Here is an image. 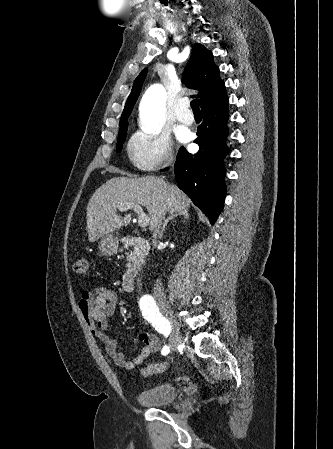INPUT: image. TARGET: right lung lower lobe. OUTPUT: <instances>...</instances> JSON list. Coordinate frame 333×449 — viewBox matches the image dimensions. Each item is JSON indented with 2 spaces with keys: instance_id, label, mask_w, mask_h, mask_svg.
Returning a JSON list of instances; mask_svg holds the SVG:
<instances>
[{
  "instance_id": "98d812e1",
  "label": "right lung lower lobe",
  "mask_w": 333,
  "mask_h": 449,
  "mask_svg": "<svg viewBox=\"0 0 333 449\" xmlns=\"http://www.w3.org/2000/svg\"><path fill=\"white\" fill-rule=\"evenodd\" d=\"M228 103L224 86L200 104L203 122L198 126L199 137L194 141L199 145V151L191 154L181 147L174 164L178 187L209 217L212 225L226 196L223 158L228 153L225 144Z\"/></svg>"
}]
</instances>
